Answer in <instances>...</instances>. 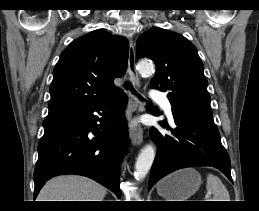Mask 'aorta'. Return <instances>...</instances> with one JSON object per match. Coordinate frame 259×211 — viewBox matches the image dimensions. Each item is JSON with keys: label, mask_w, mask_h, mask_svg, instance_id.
<instances>
[{"label": "aorta", "mask_w": 259, "mask_h": 211, "mask_svg": "<svg viewBox=\"0 0 259 211\" xmlns=\"http://www.w3.org/2000/svg\"><path fill=\"white\" fill-rule=\"evenodd\" d=\"M138 71L142 74H151L154 72V65L147 61H141L138 64ZM155 158V149L153 145L147 144L141 150L135 163V178L140 181L148 174Z\"/></svg>", "instance_id": "obj_1"}]
</instances>
